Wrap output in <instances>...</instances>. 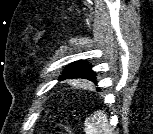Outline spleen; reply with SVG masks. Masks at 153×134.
<instances>
[{"mask_svg":"<svg viewBox=\"0 0 153 134\" xmlns=\"http://www.w3.org/2000/svg\"><path fill=\"white\" fill-rule=\"evenodd\" d=\"M84 131L86 134H112L106 115L96 111L85 120Z\"/></svg>","mask_w":153,"mask_h":134,"instance_id":"3e777b00","label":"spleen"}]
</instances>
